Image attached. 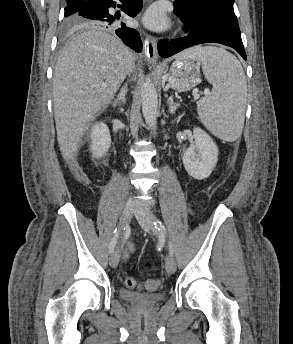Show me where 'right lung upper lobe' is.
Masks as SVG:
<instances>
[{
    "label": "right lung upper lobe",
    "instance_id": "right-lung-upper-lobe-1",
    "mask_svg": "<svg viewBox=\"0 0 293 344\" xmlns=\"http://www.w3.org/2000/svg\"><path fill=\"white\" fill-rule=\"evenodd\" d=\"M86 0H67V5L79 4L85 2Z\"/></svg>",
    "mask_w": 293,
    "mask_h": 344
}]
</instances>
